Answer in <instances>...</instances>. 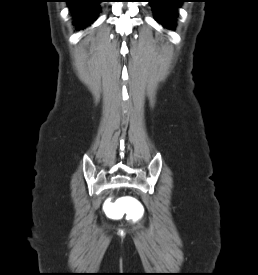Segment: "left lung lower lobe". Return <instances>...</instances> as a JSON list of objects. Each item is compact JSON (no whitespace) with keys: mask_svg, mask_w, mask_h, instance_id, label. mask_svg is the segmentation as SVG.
Returning <instances> with one entry per match:
<instances>
[{"mask_svg":"<svg viewBox=\"0 0 258 275\" xmlns=\"http://www.w3.org/2000/svg\"><path fill=\"white\" fill-rule=\"evenodd\" d=\"M155 19L166 28H173L176 8L183 0H149Z\"/></svg>","mask_w":258,"mask_h":275,"instance_id":"obj_1","label":"left lung lower lobe"}]
</instances>
